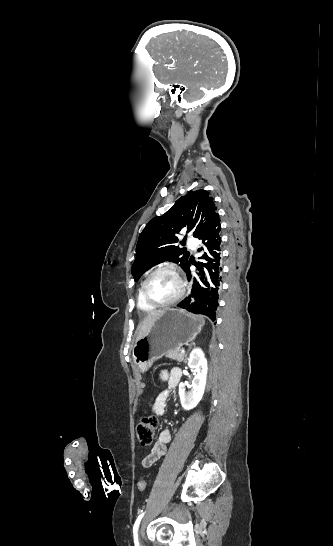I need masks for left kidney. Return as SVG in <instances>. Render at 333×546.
<instances>
[{"label":"left kidney","mask_w":333,"mask_h":546,"mask_svg":"<svg viewBox=\"0 0 333 546\" xmlns=\"http://www.w3.org/2000/svg\"><path fill=\"white\" fill-rule=\"evenodd\" d=\"M188 366L194 369L197 374L193 379L191 390L186 392L185 384L179 385V397L181 405L185 410H191L202 399L206 386V377L208 371L207 360L200 348L194 349L188 359Z\"/></svg>","instance_id":"5707ae66"}]
</instances>
